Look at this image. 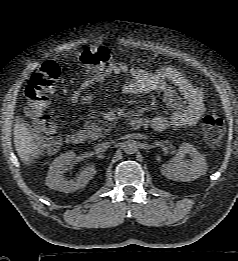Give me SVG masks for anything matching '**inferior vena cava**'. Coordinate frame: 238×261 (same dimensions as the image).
Wrapping results in <instances>:
<instances>
[{"label":"inferior vena cava","mask_w":238,"mask_h":261,"mask_svg":"<svg viewBox=\"0 0 238 261\" xmlns=\"http://www.w3.org/2000/svg\"><path fill=\"white\" fill-rule=\"evenodd\" d=\"M110 147V143H100L96 145V151L97 152H104Z\"/></svg>","instance_id":"1"}]
</instances>
